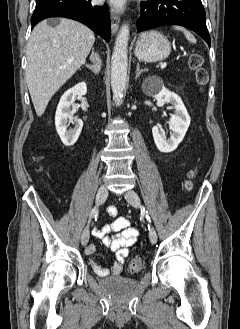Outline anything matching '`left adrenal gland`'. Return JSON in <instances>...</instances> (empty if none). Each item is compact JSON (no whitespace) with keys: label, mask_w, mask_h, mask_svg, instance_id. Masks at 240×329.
Returning a JSON list of instances; mask_svg holds the SVG:
<instances>
[{"label":"left adrenal gland","mask_w":240,"mask_h":329,"mask_svg":"<svg viewBox=\"0 0 240 329\" xmlns=\"http://www.w3.org/2000/svg\"><path fill=\"white\" fill-rule=\"evenodd\" d=\"M146 71H148V69H140V65H139V63H137L135 79H137L140 76L141 73L146 72Z\"/></svg>","instance_id":"left-adrenal-gland-1"}]
</instances>
